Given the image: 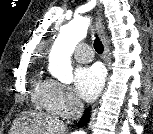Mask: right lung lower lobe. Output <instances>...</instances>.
I'll return each instance as SVG.
<instances>
[{
	"instance_id": "98d812e1",
	"label": "right lung lower lobe",
	"mask_w": 153,
	"mask_h": 134,
	"mask_svg": "<svg viewBox=\"0 0 153 134\" xmlns=\"http://www.w3.org/2000/svg\"><path fill=\"white\" fill-rule=\"evenodd\" d=\"M90 113L89 111H86L84 116L81 118V121L79 122V126H85L89 122Z\"/></svg>"
}]
</instances>
